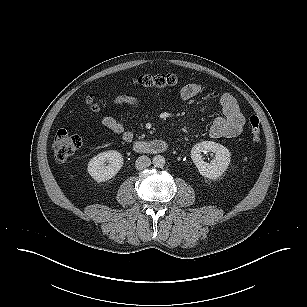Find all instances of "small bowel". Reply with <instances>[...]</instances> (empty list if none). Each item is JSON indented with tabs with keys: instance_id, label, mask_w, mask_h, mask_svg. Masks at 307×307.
<instances>
[{
	"instance_id": "small-bowel-1",
	"label": "small bowel",
	"mask_w": 307,
	"mask_h": 307,
	"mask_svg": "<svg viewBox=\"0 0 307 307\" xmlns=\"http://www.w3.org/2000/svg\"><path fill=\"white\" fill-rule=\"evenodd\" d=\"M201 92L202 87L199 84L189 83L182 88L181 97L184 100H190ZM219 102L223 115L212 120L209 127L210 136L213 138H234L239 136L243 131L245 120L236 99L229 93H223ZM112 105H128L137 110L143 108L141 101L130 95H119L114 99ZM101 124L114 134L119 135L127 143L132 142L134 139V132L111 116H103Z\"/></svg>"
}]
</instances>
